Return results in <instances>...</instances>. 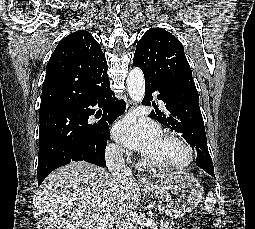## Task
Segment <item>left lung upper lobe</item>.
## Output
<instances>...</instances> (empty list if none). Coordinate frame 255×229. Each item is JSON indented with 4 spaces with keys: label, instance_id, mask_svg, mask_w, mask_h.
I'll return each mask as SVG.
<instances>
[{
    "label": "left lung upper lobe",
    "instance_id": "obj_1",
    "mask_svg": "<svg viewBox=\"0 0 255 229\" xmlns=\"http://www.w3.org/2000/svg\"><path fill=\"white\" fill-rule=\"evenodd\" d=\"M133 65L142 69L145 78L174 82L197 92L183 45L162 28L148 30L139 40ZM181 134L191 145L197 142L189 135Z\"/></svg>",
    "mask_w": 255,
    "mask_h": 229
}]
</instances>
